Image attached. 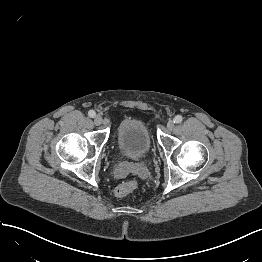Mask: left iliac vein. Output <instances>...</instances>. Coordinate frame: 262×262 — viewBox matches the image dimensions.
<instances>
[{
	"label": "left iliac vein",
	"mask_w": 262,
	"mask_h": 262,
	"mask_svg": "<svg viewBox=\"0 0 262 262\" xmlns=\"http://www.w3.org/2000/svg\"><path fill=\"white\" fill-rule=\"evenodd\" d=\"M167 128H168L169 130H172V129L174 128V122H173V120H169V121L167 122Z\"/></svg>",
	"instance_id": "1"
}]
</instances>
